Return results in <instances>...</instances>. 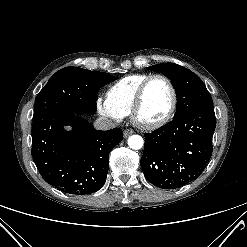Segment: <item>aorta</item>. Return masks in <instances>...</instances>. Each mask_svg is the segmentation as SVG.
<instances>
[{
	"instance_id": "aorta-1",
	"label": "aorta",
	"mask_w": 247,
	"mask_h": 247,
	"mask_svg": "<svg viewBox=\"0 0 247 247\" xmlns=\"http://www.w3.org/2000/svg\"><path fill=\"white\" fill-rule=\"evenodd\" d=\"M143 138L139 135H131L128 138V146L134 150H139L143 147Z\"/></svg>"
}]
</instances>
